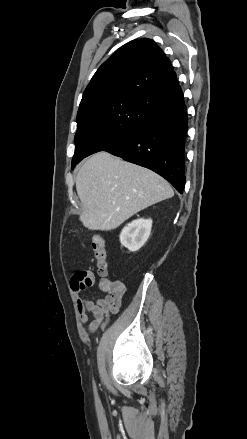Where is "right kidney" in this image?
I'll return each instance as SVG.
<instances>
[{
	"instance_id": "right-kidney-1",
	"label": "right kidney",
	"mask_w": 247,
	"mask_h": 439,
	"mask_svg": "<svg viewBox=\"0 0 247 439\" xmlns=\"http://www.w3.org/2000/svg\"><path fill=\"white\" fill-rule=\"evenodd\" d=\"M152 228L151 219H137L125 226L120 234V242L129 251L139 250L148 240Z\"/></svg>"
}]
</instances>
